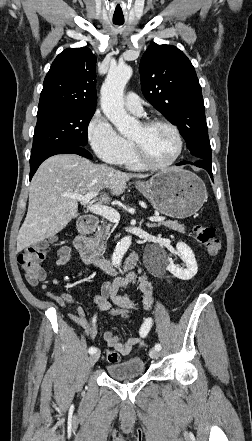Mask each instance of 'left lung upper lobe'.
<instances>
[{
  "instance_id": "left-lung-upper-lobe-1",
  "label": "left lung upper lobe",
  "mask_w": 252,
  "mask_h": 441,
  "mask_svg": "<svg viewBox=\"0 0 252 441\" xmlns=\"http://www.w3.org/2000/svg\"><path fill=\"white\" fill-rule=\"evenodd\" d=\"M139 69L145 98L179 128L192 155L211 161L201 86L190 60L175 46L153 43Z\"/></svg>"
}]
</instances>
